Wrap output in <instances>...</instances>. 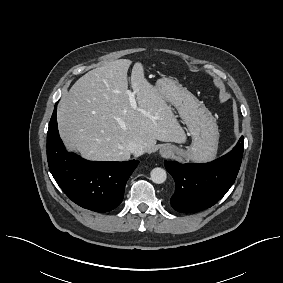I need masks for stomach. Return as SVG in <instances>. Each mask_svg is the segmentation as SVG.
I'll return each mask as SVG.
<instances>
[{"label": "stomach", "mask_w": 283, "mask_h": 283, "mask_svg": "<svg viewBox=\"0 0 283 283\" xmlns=\"http://www.w3.org/2000/svg\"><path fill=\"white\" fill-rule=\"evenodd\" d=\"M155 87L163 99L177 109L192 138L191 145L186 149L172 146L175 156L199 163L213 160L218 150L219 132L211 112L191 92L171 78L158 79Z\"/></svg>", "instance_id": "obj_1"}]
</instances>
